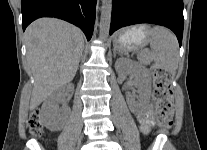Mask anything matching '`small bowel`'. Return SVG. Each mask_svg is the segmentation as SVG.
<instances>
[{
	"instance_id": "obj_1",
	"label": "small bowel",
	"mask_w": 207,
	"mask_h": 150,
	"mask_svg": "<svg viewBox=\"0 0 207 150\" xmlns=\"http://www.w3.org/2000/svg\"><path fill=\"white\" fill-rule=\"evenodd\" d=\"M138 119L140 122V128L142 132L148 133L154 121L152 111L149 110L145 112L143 115L139 116Z\"/></svg>"
}]
</instances>
